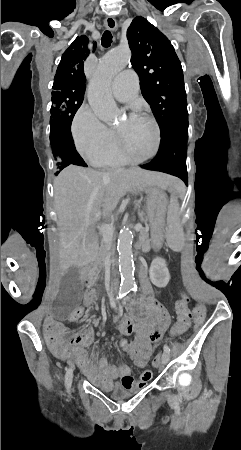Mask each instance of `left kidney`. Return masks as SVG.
Here are the masks:
<instances>
[{
  "label": "left kidney",
  "instance_id": "left-kidney-1",
  "mask_svg": "<svg viewBox=\"0 0 241 450\" xmlns=\"http://www.w3.org/2000/svg\"><path fill=\"white\" fill-rule=\"evenodd\" d=\"M150 280L157 288H165L170 280L169 270L165 260L155 258L150 266Z\"/></svg>",
  "mask_w": 241,
  "mask_h": 450
}]
</instances>
